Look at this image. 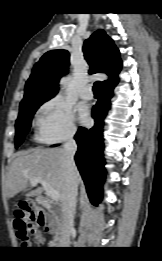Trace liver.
Returning <instances> with one entry per match:
<instances>
[{"mask_svg":"<svg viewBox=\"0 0 162 261\" xmlns=\"http://www.w3.org/2000/svg\"><path fill=\"white\" fill-rule=\"evenodd\" d=\"M31 178L46 180L54 190L59 192L62 202L66 191V164L64 149L35 148L21 152L12 162L7 176V197L12 198L21 191H27ZM81 182L78 176V184ZM43 192L41 187L27 193V196H38Z\"/></svg>","mask_w":162,"mask_h":261,"instance_id":"1","label":"liver"}]
</instances>
